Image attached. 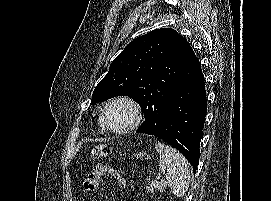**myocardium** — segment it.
<instances>
[{"mask_svg":"<svg viewBox=\"0 0 271 201\" xmlns=\"http://www.w3.org/2000/svg\"><path fill=\"white\" fill-rule=\"evenodd\" d=\"M116 103L127 104L133 112L132 122L129 125L119 128V129L111 127L106 120L107 109L111 105L116 104ZM100 121L106 131H109L115 134H123V133L131 132L137 129L141 125V123L143 122V113H142V109L140 105L138 104L136 100H134L133 98L129 96L122 95V96L114 97L105 103L100 113Z\"/></svg>","mask_w":271,"mask_h":201,"instance_id":"f54148a6","label":"myocardium"}]
</instances>
